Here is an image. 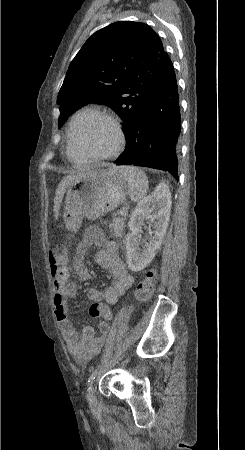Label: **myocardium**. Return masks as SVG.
<instances>
[{"mask_svg":"<svg viewBox=\"0 0 245 450\" xmlns=\"http://www.w3.org/2000/svg\"><path fill=\"white\" fill-rule=\"evenodd\" d=\"M102 120L108 122L112 127L114 128L116 134H117V143L115 148L108 154L100 155V156H90L85 153H83L76 144L75 140V129L77 125L83 121H97ZM68 136H69V142L71 149L76 152L80 157L83 159H91L96 161H105V160H111L115 157H117L124 149L126 144V136L123 129V126L120 122V120L114 116L113 114H110L105 111H96L92 114L88 115L85 118H79L74 117L70 123L69 130H68Z\"/></svg>","mask_w":245,"mask_h":450,"instance_id":"f54148a6","label":"myocardium"}]
</instances>
